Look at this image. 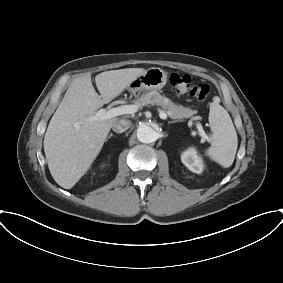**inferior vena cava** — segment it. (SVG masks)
<instances>
[{
    "instance_id": "obj_1",
    "label": "inferior vena cava",
    "mask_w": 283,
    "mask_h": 283,
    "mask_svg": "<svg viewBox=\"0 0 283 283\" xmlns=\"http://www.w3.org/2000/svg\"><path fill=\"white\" fill-rule=\"evenodd\" d=\"M131 126V121L127 119H120L116 121L113 126L112 130L116 133H123Z\"/></svg>"
}]
</instances>
